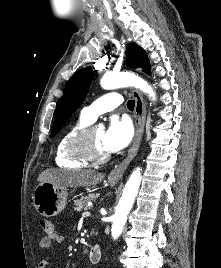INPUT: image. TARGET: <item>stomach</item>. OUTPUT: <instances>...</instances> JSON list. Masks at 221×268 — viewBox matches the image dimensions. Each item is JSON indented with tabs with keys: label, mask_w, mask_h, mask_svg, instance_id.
<instances>
[{
	"label": "stomach",
	"mask_w": 221,
	"mask_h": 268,
	"mask_svg": "<svg viewBox=\"0 0 221 268\" xmlns=\"http://www.w3.org/2000/svg\"><path fill=\"white\" fill-rule=\"evenodd\" d=\"M116 181L117 179H110L112 184ZM67 197L66 187L44 182L36 186L32 199L33 205L40 215L53 217L66 207Z\"/></svg>",
	"instance_id": "1"
}]
</instances>
